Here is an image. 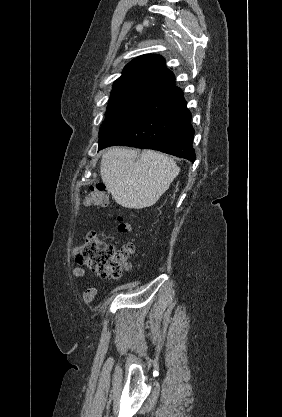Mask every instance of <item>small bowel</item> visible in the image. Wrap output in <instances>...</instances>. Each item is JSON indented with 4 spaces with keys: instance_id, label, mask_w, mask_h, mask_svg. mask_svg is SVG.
I'll return each mask as SVG.
<instances>
[{
    "instance_id": "1",
    "label": "small bowel",
    "mask_w": 282,
    "mask_h": 417,
    "mask_svg": "<svg viewBox=\"0 0 282 417\" xmlns=\"http://www.w3.org/2000/svg\"><path fill=\"white\" fill-rule=\"evenodd\" d=\"M71 274L74 278H77V279H83L86 277V271L81 267L73 268L71 271ZM97 292L98 290L95 286L86 288L82 295L83 302L86 304H90L91 302H93V300L95 299L97 295Z\"/></svg>"
}]
</instances>
